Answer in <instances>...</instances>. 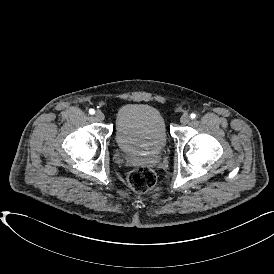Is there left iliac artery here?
Wrapping results in <instances>:
<instances>
[{
    "mask_svg": "<svg viewBox=\"0 0 274 274\" xmlns=\"http://www.w3.org/2000/svg\"><path fill=\"white\" fill-rule=\"evenodd\" d=\"M190 117H191L192 119H194V118L196 117V114L192 113V114L190 115Z\"/></svg>",
    "mask_w": 274,
    "mask_h": 274,
    "instance_id": "obj_1",
    "label": "left iliac artery"
}]
</instances>
